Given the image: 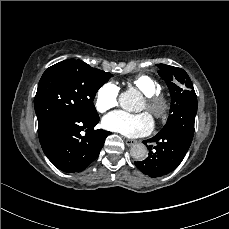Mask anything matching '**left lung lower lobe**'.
Masks as SVG:
<instances>
[{"instance_id": "1", "label": "left lung lower lobe", "mask_w": 229, "mask_h": 229, "mask_svg": "<svg viewBox=\"0 0 229 229\" xmlns=\"http://www.w3.org/2000/svg\"><path fill=\"white\" fill-rule=\"evenodd\" d=\"M192 139L183 132L160 131L156 136L147 140L148 142H156L155 150L150 151L145 160L135 162V165L141 172L152 178L166 175L181 163ZM143 143L146 144V141ZM151 147L149 146V149Z\"/></svg>"}]
</instances>
